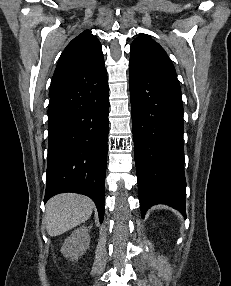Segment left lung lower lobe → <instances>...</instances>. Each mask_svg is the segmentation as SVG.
I'll list each match as a JSON object with an SVG mask.
<instances>
[{"label": "left lung lower lobe", "instance_id": "0a47b994", "mask_svg": "<svg viewBox=\"0 0 231 286\" xmlns=\"http://www.w3.org/2000/svg\"><path fill=\"white\" fill-rule=\"evenodd\" d=\"M129 86L142 217L155 204L185 216L183 104L177 77L129 61Z\"/></svg>", "mask_w": 231, "mask_h": 286}]
</instances>
